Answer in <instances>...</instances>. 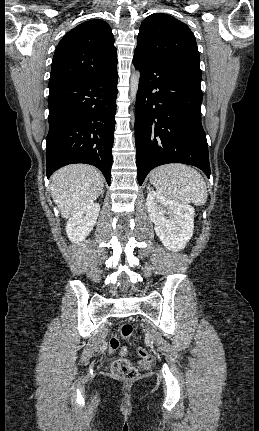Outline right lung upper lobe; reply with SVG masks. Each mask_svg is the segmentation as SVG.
I'll return each mask as SVG.
<instances>
[{
  "instance_id": "1",
  "label": "right lung upper lobe",
  "mask_w": 259,
  "mask_h": 431,
  "mask_svg": "<svg viewBox=\"0 0 259 431\" xmlns=\"http://www.w3.org/2000/svg\"><path fill=\"white\" fill-rule=\"evenodd\" d=\"M117 51L110 26L98 19L70 30L56 47L49 87L107 75L117 70Z\"/></svg>"
}]
</instances>
